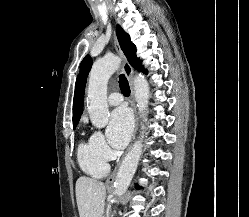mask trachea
<instances>
[{"label":"trachea","mask_w":249,"mask_h":217,"mask_svg":"<svg viewBox=\"0 0 249 217\" xmlns=\"http://www.w3.org/2000/svg\"><path fill=\"white\" fill-rule=\"evenodd\" d=\"M119 84H120V90L124 96L130 95V87L127 81V78L124 74H121L119 76Z\"/></svg>","instance_id":"3493384b"}]
</instances>
